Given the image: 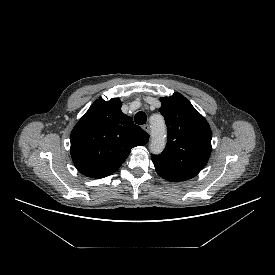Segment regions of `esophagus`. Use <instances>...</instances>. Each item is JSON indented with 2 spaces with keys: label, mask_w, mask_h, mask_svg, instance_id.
<instances>
[{
  "label": "esophagus",
  "mask_w": 275,
  "mask_h": 275,
  "mask_svg": "<svg viewBox=\"0 0 275 275\" xmlns=\"http://www.w3.org/2000/svg\"><path fill=\"white\" fill-rule=\"evenodd\" d=\"M143 129H144L147 133L150 132V126H149L148 124H145V125L143 126Z\"/></svg>",
  "instance_id": "34e87169"
}]
</instances>
